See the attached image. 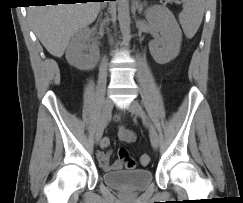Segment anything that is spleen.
<instances>
[{"label": "spleen", "instance_id": "spleen-1", "mask_svg": "<svg viewBox=\"0 0 243 203\" xmlns=\"http://www.w3.org/2000/svg\"><path fill=\"white\" fill-rule=\"evenodd\" d=\"M183 10L179 14V22L187 38L196 34L203 19L205 0H182Z\"/></svg>", "mask_w": 243, "mask_h": 203}]
</instances>
